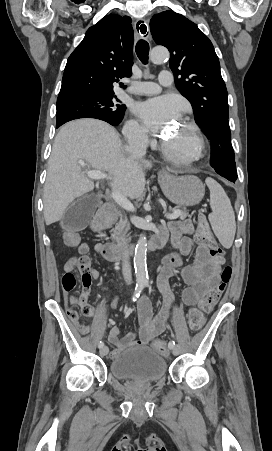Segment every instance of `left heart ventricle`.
Instances as JSON below:
<instances>
[{
    "instance_id": "obj_1",
    "label": "left heart ventricle",
    "mask_w": 272,
    "mask_h": 451,
    "mask_svg": "<svg viewBox=\"0 0 272 451\" xmlns=\"http://www.w3.org/2000/svg\"><path fill=\"white\" fill-rule=\"evenodd\" d=\"M170 139L176 146H187L190 141V132L184 125H180Z\"/></svg>"
}]
</instances>
